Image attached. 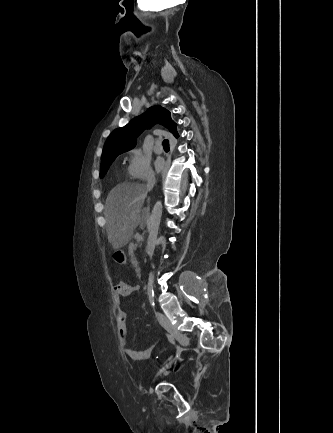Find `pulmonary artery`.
<instances>
[{"mask_svg":"<svg viewBox=\"0 0 333 433\" xmlns=\"http://www.w3.org/2000/svg\"><path fill=\"white\" fill-rule=\"evenodd\" d=\"M154 151H155V153H157V154H161V153H163V147H162V145H161L160 142H158V143L155 145V147H154Z\"/></svg>","mask_w":333,"mask_h":433,"instance_id":"pulmonary-artery-1","label":"pulmonary artery"}]
</instances>
